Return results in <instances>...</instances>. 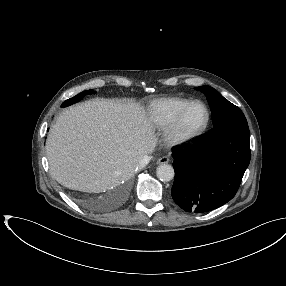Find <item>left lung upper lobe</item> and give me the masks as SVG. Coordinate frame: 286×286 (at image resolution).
Wrapping results in <instances>:
<instances>
[{"label":"left lung upper lobe","mask_w":286,"mask_h":286,"mask_svg":"<svg viewBox=\"0 0 286 286\" xmlns=\"http://www.w3.org/2000/svg\"><path fill=\"white\" fill-rule=\"evenodd\" d=\"M203 92L210 105L214 127L227 123H247L243 112L225 99L218 91L209 86L196 87Z\"/></svg>","instance_id":"5c2ea615"}]
</instances>
